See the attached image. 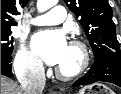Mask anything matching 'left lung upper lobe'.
<instances>
[{
    "mask_svg": "<svg viewBox=\"0 0 121 94\" xmlns=\"http://www.w3.org/2000/svg\"><path fill=\"white\" fill-rule=\"evenodd\" d=\"M68 8L80 18L95 60L121 57L112 9L108 0H64Z\"/></svg>",
    "mask_w": 121,
    "mask_h": 94,
    "instance_id": "5c2ea615",
    "label": "left lung upper lobe"
}]
</instances>
